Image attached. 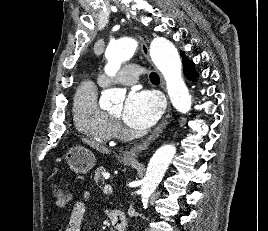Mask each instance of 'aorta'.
Listing matches in <instances>:
<instances>
[{"label": "aorta", "instance_id": "obj_1", "mask_svg": "<svg viewBox=\"0 0 268 231\" xmlns=\"http://www.w3.org/2000/svg\"><path fill=\"white\" fill-rule=\"evenodd\" d=\"M137 43L134 39L124 38L110 43L105 56L108 60L105 72L114 76L123 62L131 59ZM150 56L153 63L163 74L171 103L174 108L187 113L191 109V96L182 78V63L175 46L166 38L156 37L150 44ZM125 93L120 89H106L102 92L101 105L108 106L112 102L123 101ZM176 153L175 146L166 144L156 150L151 157L143 184L140 189L142 200H147L161 182L169 164Z\"/></svg>", "mask_w": 268, "mask_h": 231}]
</instances>
